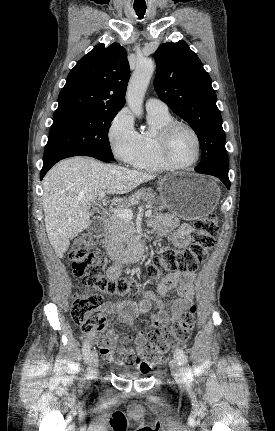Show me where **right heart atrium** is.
I'll list each match as a JSON object with an SVG mask.
<instances>
[{
  "label": "right heart atrium",
  "mask_w": 275,
  "mask_h": 431,
  "mask_svg": "<svg viewBox=\"0 0 275 431\" xmlns=\"http://www.w3.org/2000/svg\"><path fill=\"white\" fill-rule=\"evenodd\" d=\"M107 135L115 157L125 164H132L140 153L141 140L127 109H121L113 117Z\"/></svg>",
  "instance_id": "1"
}]
</instances>
